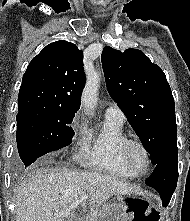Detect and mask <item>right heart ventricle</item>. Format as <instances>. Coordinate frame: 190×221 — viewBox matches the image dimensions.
Instances as JSON below:
<instances>
[{"mask_svg":"<svg viewBox=\"0 0 190 221\" xmlns=\"http://www.w3.org/2000/svg\"><path fill=\"white\" fill-rule=\"evenodd\" d=\"M127 138L122 121L105 118L102 127L89 134V150L85 164L93 170L111 175L136 177L122 159L121 149Z\"/></svg>","mask_w":190,"mask_h":221,"instance_id":"right-heart-ventricle-1","label":"right heart ventricle"}]
</instances>
